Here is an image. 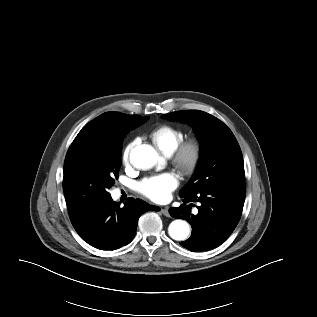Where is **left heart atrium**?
I'll return each mask as SVG.
<instances>
[{
    "mask_svg": "<svg viewBox=\"0 0 317 317\" xmlns=\"http://www.w3.org/2000/svg\"><path fill=\"white\" fill-rule=\"evenodd\" d=\"M178 181L172 173H164L143 179L139 191L154 202H164L169 199L170 193L177 187Z\"/></svg>",
    "mask_w": 317,
    "mask_h": 317,
    "instance_id": "39dd6f15",
    "label": "left heart atrium"
}]
</instances>
